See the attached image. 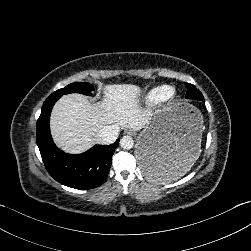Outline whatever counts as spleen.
Segmentation results:
<instances>
[{
  "label": "spleen",
  "instance_id": "1",
  "mask_svg": "<svg viewBox=\"0 0 251 251\" xmlns=\"http://www.w3.org/2000/svg\"><path fill=\"white\" fill-rule=\"evenodd\" d=\"M194 162L195 160H191L190 162L182 163L179 170L174 174L168 172L167 169H165L158 163L152 162L149 164V175L147 176V178L161 179L163 181H169L172 179L179 178L185 175L190 170Z\"/></svg>",
  "mask_w": 251,
  "mask_h": 251
}]
</instances>
